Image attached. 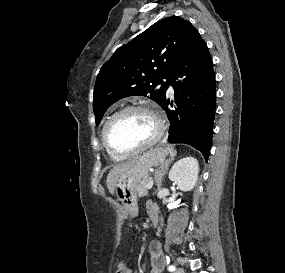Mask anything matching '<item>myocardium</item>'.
Segmentation results:
<instances>
[{
    "instance_id": "f54148a6",
    "label": "myocardium",
    "mask_w": 285,
    "mask_h": 273,
    "mask_svg": "<svg viewBox=\"0 0 285 273\" xmlns=\"http://www.w3.org/2000/svg\"><path fill=\"white\" fill-rule=\"evenodd\" d=\"M130 111H141V112H145V113L149 114L150 116H152V118L154 119V121L156 123L157 130H156V134L148 142H146V143H144V144H142L139 147H136L134 149L123 151V150H119V149L115 148L112 145V143L110 142V139H109V133H110V130H111L113 124L115 123V121L121 115H123L127 112H130ZM166 128H167V126H166V122H165L163 115L154 106H151L148 104H130V105L122 107L121 109H119L118 111L113 113L108 118L107 122L105 123L104 129H103L102 138H103L104 145L106 146V148L110 152H112L116 155H119V156L127 157V156L138 154V153L150 148L151 146L155 145L165 135Z\"/></svg>"
}]
</instances>
